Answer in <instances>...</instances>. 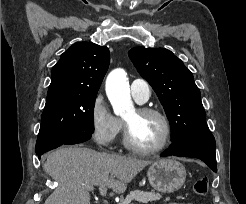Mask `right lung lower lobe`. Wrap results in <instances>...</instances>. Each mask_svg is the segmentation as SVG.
<instances>
[{"mask_svg": "<svg viewBox=\"0 0 246 204\" xmlns=\"http://www.w3.org/2000/svg\"><path fill=\"white\" fill-rule=\"evenodd\" d=\"M91 137V133H79L76 136H74L72 139H70L69 141L65 142V145H70V144H76V143H81L84 141L89 140ZM42 154H38V158L40 159Z\"/></svg>", "mask_w": 246, "mask_h": 204, "instance_id": "right-lung-lower-lobe-1", "label": "right lung lower lobe"}]
</instances>
